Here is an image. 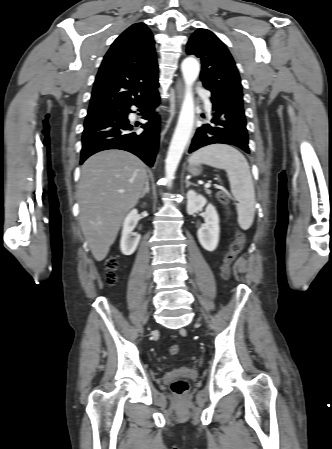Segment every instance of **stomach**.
<instances>
[{"mask_svg":"<svg viewBox=\"0 0 332 449\" xmlns=\"http://www.w3.org/2000/svg\"><path fill=\"white\" fill-rule=\"evenodd\" d=\"M188 172L191 175L197 176L201 173V168L198 165H191L188 167Z\"/></svg>","mask_w":332,"mask_h":449,"instance_id":"stomach-1","label":"stomach"}]
</instances>
